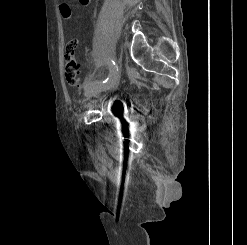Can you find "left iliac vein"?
I'll return each mask as SVG.
<instances>
[{"instance_id":"left-iliac-vein-1","label":"left iliac vein","mask_w":247,"mask_h":245,"mask_svg":"<svg viewBox=\"0 0 247 245\" xmlns=\"http://www.w3.org/2000/svg\"><path fill=\"white\" fill-rule=\"evenodd\" d=\"M120 77V72L119 70L115 73V75L112 77V79L108 82V84L101 86V85H97V84H92L87 88L86 91V96L88 98L94 97L97 94H99L102 91H106L109 89H112L118 82Z\"/></svg>"}]
</instances>
